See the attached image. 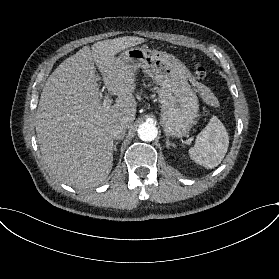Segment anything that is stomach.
Segmentation results:
<instances>
[{
	"label": "stomach",
	"instance_id": "0dacf381",
	"mask_svg": "<svg viewBox=\"0 0 279 279\" xmlns=\"http://www.w3.org/2000/svg\"><path fill=\"white\" fill-rule=\"evenodd\" d=\"M142 69L159 89L160 120L167 136L181 138L189 133L198 116V99L189 81L188 68L176 56L148 46L131 48L121 58Z\"/></svg>",
	"mask_w": 279,
	"mask_h": 279
}]
</instances>
